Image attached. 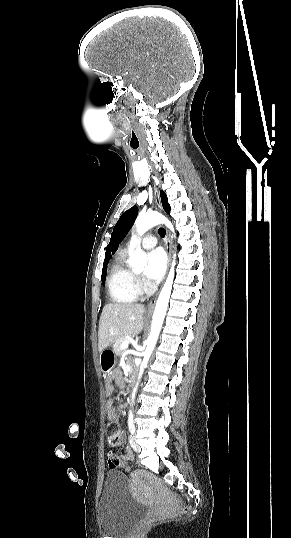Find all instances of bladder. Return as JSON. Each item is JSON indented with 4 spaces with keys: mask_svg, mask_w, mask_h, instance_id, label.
Here are the masks:
<instances>
[{
    "mask_svg": "<svg viewBox=\"0 0 291 538\" xmlns=\"http://www.w3.org/2000/svg\"><path fill=\"white\" fill-rule=\"evenodd\" d=\"M147 507L130 494L125 476L109 472L98 503V521L109 538H125L144 517Z\"/></svg>",
    "mask_w": 291,
    "mask_h": 538,
    "instance_id": "bladder-1",
    "label": "bladder"
}]
</instances>
